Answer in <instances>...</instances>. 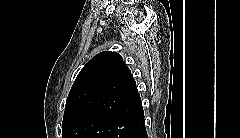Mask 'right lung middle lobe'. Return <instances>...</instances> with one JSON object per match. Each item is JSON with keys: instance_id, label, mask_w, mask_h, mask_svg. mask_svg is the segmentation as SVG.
I'll use <instances>...</instances> for the list:
<instances>
[{"instance_id": "dd1d6c3e", "label": "right lung middle lobe", "mask_w": 240, "mask_h": 138, "mask_svg": "<svg viewBox=\"0 0 240 138\" xmlns=\"http://www.w3.org/2000/svg\"><path fill=\"white\" fill-rule=\"evenodd\" d=\"M107 116V113L87 111L63 118V138H86L89 132Z\"/></svg>"}]
</instances>
